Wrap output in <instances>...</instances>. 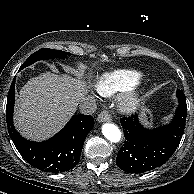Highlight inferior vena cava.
Wrapping results in <instances>:
<instances>
[{
  "label": "inferior vena cava",
  "instance_id": "602c4592",
  "mask_svg": "<svg viewBox=\"0 0 194 194\" xmlns=\"http://www.w3.org/2000/svg\"><path fill=\"white\" fill-rule=\"evenodd\" d=\"M79 109L82 114H93L97 109L94 97L83 98L79 103Z\"/></svg>",
  "mask_w": 194,
  "mask_h": 194
}]
</instances>
